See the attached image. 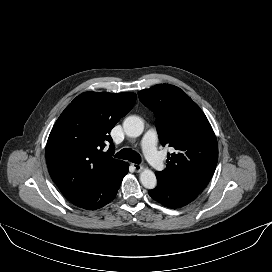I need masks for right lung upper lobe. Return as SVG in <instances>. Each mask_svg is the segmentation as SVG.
<instances>
[{
    "label": "right lung upper lobe",
    "instance_id": "cb5924a9",
    "mask_svg": "<svg viewBox=\"0 0 272 272\" xmlns=\"http://www.w3.org/2000/svg\"><path fill=\"white\" fill-rule=\"evenodd\" d=\"M136 99L131 92H85L62 112L46 145L48 170L62 193L93 186L121 162L111 156L109 134ZM107 142L110 148L104 152Z\"/></svg>",
    "mask_w": 272,
    "mask_h": 272
}]
</instances>
